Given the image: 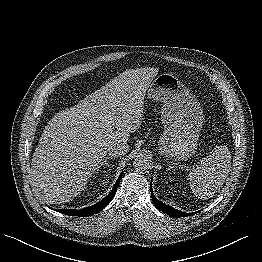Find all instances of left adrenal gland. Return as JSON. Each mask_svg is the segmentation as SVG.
I'll return each mask as SVG.
<instances>
[{
  "label": "left adrenal gland",
  "mask_w": 262,
  "mask_h": 262,
  "mask_svg": "<svg viewBox=\"0 0 262 262\" xmlns=\"http://www.w3.org/2000/svg\"><path fill=\"white\" fill-rule=\"evenodd\" d=\"M173 167L172 166H169V168L168 169H172Z\"/></svg>",
  "instance_id": "left-adrenal-gland-1"
}]
</instances>
